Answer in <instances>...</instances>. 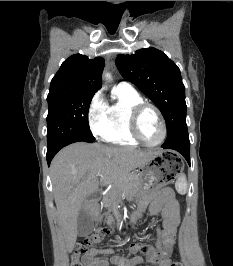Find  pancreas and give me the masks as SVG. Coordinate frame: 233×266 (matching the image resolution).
<instances>
[{"label": "pancreas", "mask_w": 233, "mask_h": 266, "mask_svg": "<svg viewBox=\"0 0 233 266\" xmlns=\"http://www.w3.org/2000/svg\"><path fill=\"white\" fill-rule=\"evenodd\" d=\"M140 179L138 174H128L120 183L113 187L103 197L102 205L108 209L116 207L123 198L131 196L140 188Z\"/></svg>", "instance_id": "pancreas-1"}]
</instances>
